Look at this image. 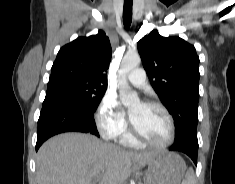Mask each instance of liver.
<instances>
[{
  "label": "liver",
  "instance_id": "6515ba94",
  "mask_svg": "<svg viewBox=\"0 0 235 184\" xmlns=\"http://www.w3.org/2000/svg\"><path fill=\"white\" fill-rule=\"evenodd\" d=\"M157 152H128L91 134H59L47 140L36 156L38 184H123L132 172L152 162Z\"/></svg>",
  "mask_w": 235,
  "mask_h": 184
}]
</instances>
